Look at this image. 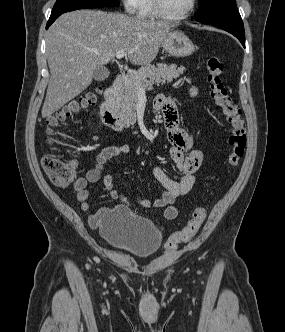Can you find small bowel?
<instances>
[{
	"label": "small bowel",
	"mask_w": 285,
	"mask_h": 332,
	"mask_svg": "<svg viewBox=\"0 0 285 332\" xmlns=\"http://www.w3.org/2000/svg\"><path fill=\"white\" fill-rule=\"evenodd\" d=\"M190 92L195 96L198 90L196 87H192ZM154 108L164 115L166 136L170 143L169 156L178 166L181 178L179 181L172 180L161 167L155 166L152 173L164 190L160 197L153 200L140 199L138 203L144 208L163 209L165 218L173 220L178 215L175 201L177 198L188 194L194 187L195 173L202 166L203 153L194 148L193 136L179 126L176 106L172 99L159 96L154 102ZM129 151L130 147L127 144L106 145L97 155L96 166L90 169L85 176L75 180L73 189L76 192V198L82 211H87L90 207L88 203V184L98 182L101 177H103V184L112 199L120 200L126 205L131 204L127 197L115 188L111 170L105 169V165L111 159L127 154ZM73 164L76 168L78 167L76 162H73ZM105 213L104 210H101L91 215L89 217L91 227H99Z\"/></svg>",
	"instance_id": "1"
}]
</instances>
